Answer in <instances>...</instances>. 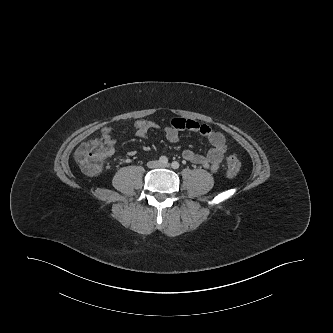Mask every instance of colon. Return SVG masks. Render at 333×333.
Returning <instances> with one entry per match:
<instances>
[{
    "label": "colon",
    "instance_id": "colon-1",
    "mask_svg": "<svg viewBox=\"0 0 333 333\" xmlns=\"http://www.w3.org/2000/svg\"><path fill=\"white\" fill-rule=\"evenodd\" d=\"M110 147L102 139L90 140L82 144L75 152V160L79 167L89 175L98 174L108 155ZM241 170L240 160L236 156H230L226 162V173L229 177H235Z\"/></svg>",
    "mask_w": 333,
    "mask_h": 333
}]
</instances>
